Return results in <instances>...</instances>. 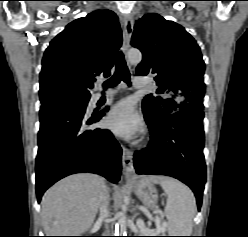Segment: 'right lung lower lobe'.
<instances>
[{"mask_svg": "<svg viewBox=\"0 0 248 237\" xmlns=\"http://www.w3.org/2000/svg\"><path fill=\"white\" fill-rule=\"evenodd\" d=\"M85 111L74 107L40 109L36 157L38 202L51 185L74 173H96L118 183L122 149L109 130L89 129L104 113L86 120Z\"/></svg>", "mask_w": 248, "mask_h": 237, "instance_id": "right-lung-lower-lobe-1", "label": "right lung lower lobe"}]
</instances>
